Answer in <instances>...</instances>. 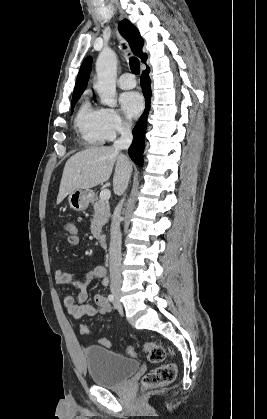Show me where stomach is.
<instances>
[{"mask_svg": "<svg viewBox=\"0 0 267 419\" xmlns=\"http://www.w3.org/2000/svg\"><path fill=\"white\" fill-rule=\"evenodd\" d=\"M93 196L90 190H75L69 194L68 202L70 207L75 211H84Z\"/></svg>", "mask_w": 267, "mask_h": 419, "instance_id": "1", "label": "stomach"}]
</instances>
